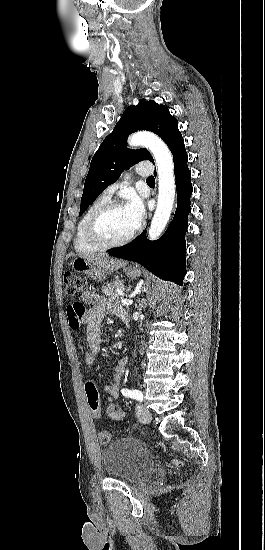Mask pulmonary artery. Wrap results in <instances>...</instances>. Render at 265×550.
<instances>
[{"instance_id": "obj_1", "label": "pulmonary artery", "mask_w": 265, "mask_h": 550, "mask_svg": "<svg viewBox=\"0 0 265 550\" xmlns=\"http://www.w3.org/2000/svg\"><path fill=\"white\" fill-rule=\"evenodd\" d=\"M136 171L138 174H140L141 176H146L148 175V169L145 168V167H137L136 168ZM129 177V174L126 175V178ZM119 184L118 183H115V184H112L110 186H108L105 191H104V194L108 195L109 197L113 195V193L117 190Z\"/></svg>"}]
</instances>
